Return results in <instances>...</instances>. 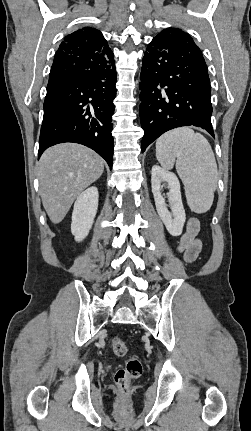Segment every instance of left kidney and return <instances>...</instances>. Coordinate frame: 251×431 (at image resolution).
<instances>
[{
  "label": "left kidney",
  "instance_id": "left-kidney-1",
  "mask_svg": "<svg viewBox=\"0 0 251 431\" xmlns=\"http://www.w3.org/2000/svg\"><path fill=\"white\" fill-rule=\"evenodd\" d=\"M162 182H166L168 184V197L171 201L172 212L168 211V208L165 205V199L161 194ZM151 187L156 210L166 226V229L172 236L181 235L186 215L181 198L180 183L177 176L159 165H153L151 170Z\"/></svg>",
  "mask_w": 251,
  "mask_h": 431
}]
</instances>
